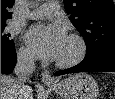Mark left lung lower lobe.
Listing matches in <instances>:
<instances>
[{
  "mask_svg": "<svg viewBox=\"0 0 115 99\" xmlns=\"http://www.w3.org/2000/svg\"><path fill=\"white\" fill-rule=\"evenodd\" d=\"M93 71L115 72V52H106L92 58H84L78 65L69 69L57 71L55 75Z\"/></svg>",
  "mask_w": 115,
  "mask_h": 99,
  "instance_id": "left-lung-lower-lobe-1",
  "label": "left lung lower lobe"
}]
</instances>
